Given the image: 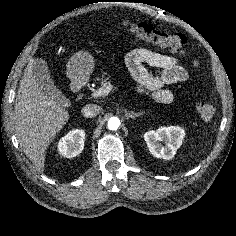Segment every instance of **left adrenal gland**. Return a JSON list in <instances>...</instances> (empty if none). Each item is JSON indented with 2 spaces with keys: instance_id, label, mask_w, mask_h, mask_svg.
Masks as SVG:
<instances>
[{
  "instance_id": "1",
  "label": "left adrenal gland",
  "mask_w": 236,
  "mask_h": 236,
  "mask_svg": "<svg viewBox=\"0 0 236 236\" xmlns=\"http://www.w3.org/2000/svg\"><path fill=\"white\" fill-rule=\"evenodd\" d=\"M143 114H144V112L135 113V112H133V111H130V112L128 113V116H129L130 118H132V119H135L136 117H139V116H141V115H143Z\"/></svg>"
}]
</instances>
